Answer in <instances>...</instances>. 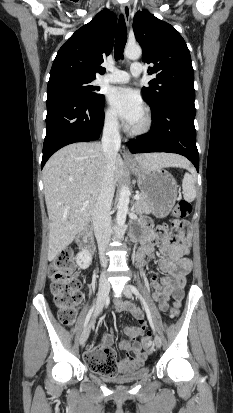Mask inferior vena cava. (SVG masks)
Returning <instances> with one entry per match:
<instances>
[{
  "mask_svg": "<svg viewBox=\"0 0 233 413\" xmlns=\"http://www.w3.org/2000/svg\"><path fill=\"white\" fill-rule=\"evenodd\" d=\"M120 145L121 139L118 121L115 117L107 118L102 136V151L106 157L104 181L92 214L94 233L99 249V258L104 268L107 266L105 250L110 242L112 233L110 210L115 190L113 170Z\"/></svg>",
  "mask_w": 233,
  "mask_h": 413,
  "instance_id": "1",
  "label": "inferior vena cava"
}]
</instances>
